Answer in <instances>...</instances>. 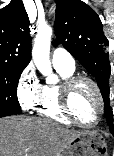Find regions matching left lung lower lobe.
Here are the masks:
<instances>
[{
	"label": "left lung lower lobe",
	"mask_w": 114,
	"mask_h": 156,
	"mask_svg": "<svg viewBox=\"0 0 114 156\" xmlns=\"http://www.w3.org/2000/svg\"><path fill=\"white\" fill-rule=\"evenodd\" d=\"M111 131V133L114 135V130H110Z\"/></svg>",
	"instance_id": "left-lung-lower-lobe-1"
}]
</instances>
